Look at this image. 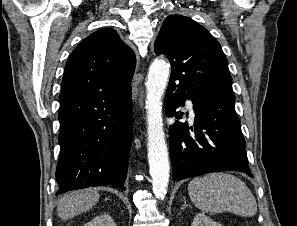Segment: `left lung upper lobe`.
Returning <instances> with one entry per match:
<instances>
[{"mask_svg": "<svg viewBox=\"0 0 297 226\" xmlns=\"http://www.w3.org/2000/svg\"><path fill=\"white\" fill-rule=\"evenodd\" d=\"M156 54L170 60V81L202 98L235 100L228 60L219 42L194 20L182 15L168 16L155 41Z\"/></svg>", "mask_w": 297, "mask_h": 226, "instance_id": "5c2ea615", "label": "left lung upper lobe"}]
</instances>
